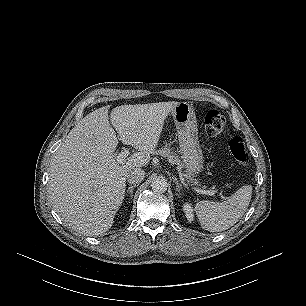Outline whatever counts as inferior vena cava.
<instances>
[{
	"label": "inferior vena cava",
	"mask_w": 306,
	"mask_h": 306,
	"mask_svg": "<svg viewBox=\"0 0 306 306\" xmlns=\"http://www.w3.org/2000/svg\"><path fill=\"white\" fill-rule=\"evenodd\" d=\"M145 177V171L141 168H136L127 174V180L131 184H139Z\"/></svg>",
	"instance_id": "obj_1"
}]
</instances>
